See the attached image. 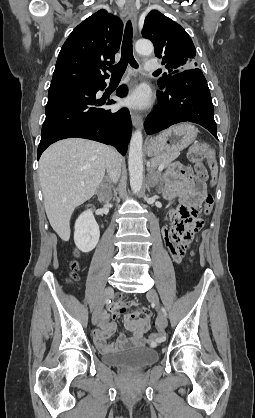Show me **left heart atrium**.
Returning <instances> with one entry per match:
<instances>
[{
  "instance_id": "1",
  "label": "left heart atrium",
  "mask_w": 255,
  "mask_h": 418,
  "mask_svg": "<svg viewBox=\"0 0 255 418\" xmlns=\"http://www.w3.org/2000/svg\"><path fill=\"white\" fill-rule=\"evenodd\" d=\"M126 105L132 108H144L150 103V93L145 86L135 88L125 100Z\"/></svg>"
}]
</instances>
